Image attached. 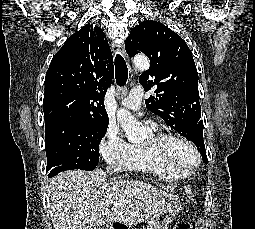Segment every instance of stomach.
Masks as SVG:
<instances>
[{
    "label": "stomach",
    "mask_w": 255,
    "mask_h": 229,
    "mask_svg": "<svg viewBox=\"0 0 255 229\" xmlns=\"http://www.w3.org/2000/svg\"><path fill=\"white\" fill-rule=\"evenodd\" d=\"M181 208V201L178 197H175L166 207L162 208L149 218L147 229H168L169 224L176 218Z\"/></svg>",
    "instance_id": "obj_1"
}]
</instances>
